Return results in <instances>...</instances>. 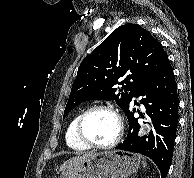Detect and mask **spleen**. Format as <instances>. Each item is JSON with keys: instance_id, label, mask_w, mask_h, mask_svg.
<instances>
[{"instance_id": "3e777b00", "label": "spleen", "mask_w": 194, "mask_h": 178, "mask_svg": "<svg viewBox=\"0 0 194 178\" xmlns=\"http://www.w3.org/2000/svg\"><path fill=\"white\" fill-rule=\"evenodd\" d=\"M142 164H143V167H146V165H147V163L146 162H142Z\"/></svg>"}]
</instances>
